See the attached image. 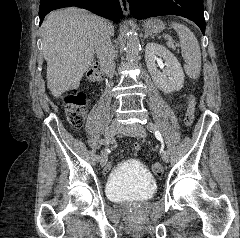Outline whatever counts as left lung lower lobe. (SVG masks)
Listing matches in <instances>:
<instances>
[{"mask_svg": "<svg viewBox=\"0 0 240 238\" xmlns=\"http://www.w3.org/2000/svg\"><path fill=\"white\" fill-rule=\"evenodd\" d=\"M136 19L177 15L195 22L205 33L203 0H127Z\"/></svg>", "mask_w": 240, "mask_h": 238, "instance_id": "obj_1", "label": "left lung lower lobe"}]
</instances>
